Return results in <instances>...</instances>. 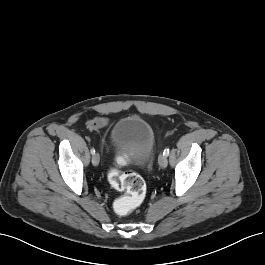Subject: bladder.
Segmentation results:
<instances>
[{
	"label": "bladder",
	"mask_w": 265,
	"mask_h": 265,
	"mask_svg": "<svg viewBox=\"0 0 265 265\" xmlns=\"http://www.w3.org/2000/svg\"><path fill=\"white\" fill-rule=\"evenodd\" d=\"M111 143L116 153L126 151L131 160L144 164L151 157L155 136L146 119L131 115L115 123L111 131Z\"/></svg>",
	"instance_id": "31cf9c89"
}]
</instances>
